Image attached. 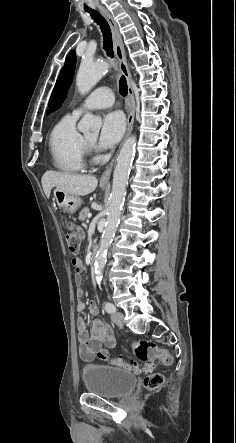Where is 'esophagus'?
I'll return each instance as SVG.
<instances>
[{
	"instance_id": "1",
	"label": "esophagus",
	"mask_w": 236,
	"mask_h": 443,
	"mask_svg": "<svg viewBox=\"0 0 236 443\" xmlns=\"http://www.w3.org/2000/svg\"><path fill=\"white\" fill-rule=\"evenodd\" d=\"M99 10L101 11V13L103 14V16L105 17V19L107 20V22L110 26V29L112 32V38H113V47H114V51H115L116 57L119 62V68H120V71L122 72V74L127 79V83H128V95H129V98L131 101V107H130L128 117H127V132H126V136H125L127 138L133 129V122H134V116H135V98H134L132 77H131L130 71L128 69L127 62H126L124 45H123L121 35L119 33L118 26H117L115 20L113 19L112 15L104 7H99ZM114 161H115V158L112 160L110 165L107 167L105 172L102 174V176L100 178V183H108L109 182Z\"/></svg>"
}]
</instances>
